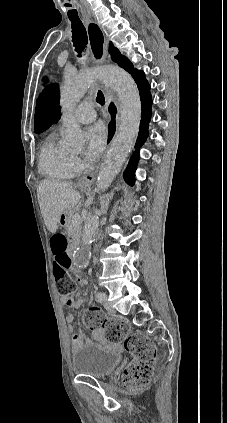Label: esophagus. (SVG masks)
I'll return each mask as SVG.
<instances>
[{
    "label": "esophagus",
    "mask_w": 227,
    "mask_h": 423,
    "mask_svg": "<svg viewBox=\"0 0 227 423\" xmlns=\"http://www.w3.org/2000/svg\"><path fill=\"white\" fill-rule=\"evenodd\" d=\"M86 26L91 56L96 64H101L106 61L108 56L105 34L95 20H86ZM106 111L110 118V125L108 127L109 131L105 140L106 142H104V147H109V145L114 141V136L117 134L116 126H118L119 115V108L116 99L110 90H107ZM97 173L98 169H96L93 173L85 175L81 178L80 182L85 184L94 183Z\"/></svg>",
    "instance_id": "34e87169"
}]
</instances>
